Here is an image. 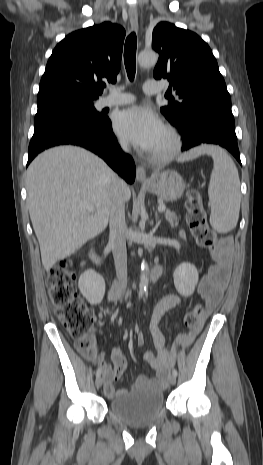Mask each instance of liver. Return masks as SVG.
<instances>
[{
    "label": "liver",
    "instance_id": "6515ba94",
    "mask_svg": "<svg viewBox=\"0 0 263 465\" xmlns=\"http://www.w3.org/2000/svg\"><path fill=\"white\" fill-rule=\"evenodd\" d=\"M117 175L93 153L75 146L44 151L29 165V214L46 270L107 227ZM131 191L126 185L124 199ZM81 203L95 207L90 214Z\"/></svg>",
    "mask_w": 263,
    "mask_h": 465
}]
</instances>
